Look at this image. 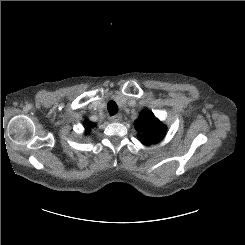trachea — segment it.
<instances>
[{
	"label": "trachea",
	"mask_w": 245,
	"mask_h": 245,
	"mask_svg": "<svg viewBox=\"0 0 245 245\" xmlns=\"http://www.w3.org/2000/svg\"><path fill=\"white\" fill-rule=\"evenodd\" d=\"M107 109L110 115H115L118 111L116 103L113 101H109L107 104Z\"/></svg>",
	"instance_id": "1"
}]
</instances>
